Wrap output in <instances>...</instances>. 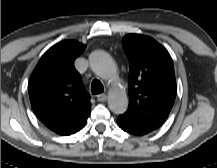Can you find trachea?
I'll use <instances>...</instances> for the list:
<instances>
[{
	"instance_id": "obj_1",
	"label": "trachea",
	"mask_w": 217,
	"mask_h": 168,
	"mask_svg": "<svg viewBox=\"0 0 217 168\" xmlns=\"http://www.w3.org/2000/svg\"><path fill=\"white\" fill-rule=\"evenodd\" d=\"M91 91L94 95L102 93L104 91L103 84L99 80L94 79L91 83Z\"/></svg>"
}]
</instances>
